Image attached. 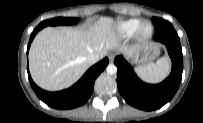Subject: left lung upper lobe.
Returning <instances> with one entry per match:
<instances>
[{
    "label": "left lung upper lobe",
    "mask_w": 203,
    "mask_h": 123,
    "mask_svg": "<svg viewBox=\"0 0 203 123\" xmlns=\"http://www.w3.org/2000/svg\"><path fill=\"white\" fill-rule=\"evenodd\" d=\"M152 20L154 23L155 32L163 30L165 28L173 27L171 25V23H169L168 21H165L161 18L153 17Z\"/></svg>",
    "instance_id": "1"
}]
</instances>
